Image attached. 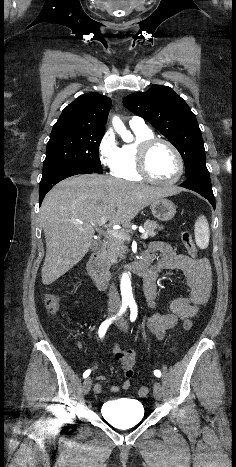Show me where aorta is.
<instances>
[{"label":"aorta","mask_w":236,"mask_h":467,"mask_svg":"<svg viewBox=\"0 0 236 467\" xmlns=\"http://www.w3.org/2000/svg\"><path fill=\"white\" fill-rule=\"evenodd\" d=\"M112 125L115 131L121 136L124 141H130L131 135L127 131L125 125L121 119L117 116H114L112 119ZM121 294L124 301H133L131 279L127 272H124L121 276L120 282Z\"/></svg>","instance_id":"aorta-1"}]
</instances>
